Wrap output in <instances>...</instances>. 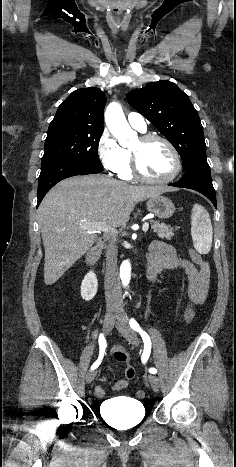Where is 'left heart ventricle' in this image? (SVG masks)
<instances>
[{"label": "left heart ventricle", "mask_w": 236, "mask_h": 467, "mask_svg": "<svg viewBox=\"0 0 236 467\" xmlns=\"http://www.w3.org/2000/svg\"><path fill=\"white\" fill-rule=\"evenodd\" d=\"M132 149L139 155L140 168L147 176L160 179L173 172L174 158L164 143L153 141L143 145L139 139Z\"/></svg>", "instance_id": "1"}]
</instances>
